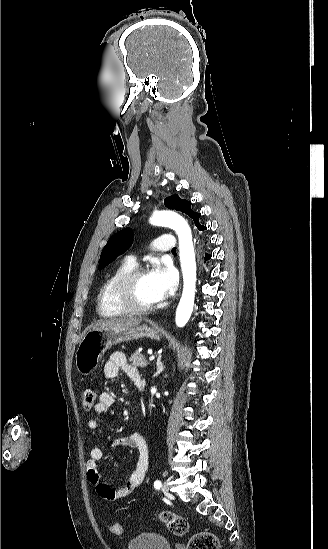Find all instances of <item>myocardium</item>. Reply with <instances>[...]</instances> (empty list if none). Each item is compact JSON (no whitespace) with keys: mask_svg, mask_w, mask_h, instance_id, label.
Wrapping results in <instances>:
<instances>
[{"mask_svg":"<svg viewBox=\"0 0 328 549\" xmlns=\"http://www.w3.org/2000/svg\"><path fill=\"white\" fill-rule=\"evenodd\" d=\"M158 264V261H144L137 263V265L123 273L112 285L110 289V299L113 304L110 305V309L117 314L142 317L155 311L158 307V301L148 305H141L140 302L135 300L131 295V288L133 283L141 276L148 274V267Z\"/></svg>","mask_w":328,"mask_h":549,"instance_id":"myocardium-1","label":"myocardium"}]
</instances>
